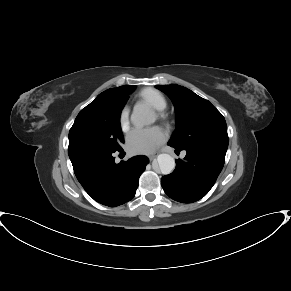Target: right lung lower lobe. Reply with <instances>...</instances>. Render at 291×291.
<instances>
[{
  "instance_id": "obj_1",
  "label": "right lung lower lobe",
  "mask_w": 291,
  "mask_h": 291,
  "mask_svg": "<svg viewBox=\"0 0 291 291\" xmlns=\"http://www.w3.org/2000/svg\"><path fill=\"white\" fill-rule=\"evenodd\" d=\"M123 151L91 147L68 149L76 178L97 202L115 207L130 201L136 193L138 180L149 160L135 156L116 164L114 153Z\"/></svg>"
}]
</instances>
